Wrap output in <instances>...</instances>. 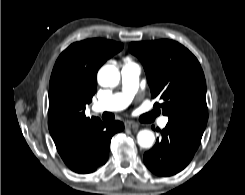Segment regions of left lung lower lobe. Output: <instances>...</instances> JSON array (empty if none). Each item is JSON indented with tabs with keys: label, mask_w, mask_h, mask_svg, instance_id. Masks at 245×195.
<instances>
[{
	"label": "left lung lower lobe",
	"mask_w": 245,
	"mask_h": 195,
	"mask_svg": "<svg viewBox=\"0 0 245 195\" xmlns=\"http://www.w3.org/2000/svg\"><path fill=\"white\" fill-rule=\"evenodd\" d=\"M203 130L177 122H168L161 139L144 154L145 165L154 174L171 176L183 170L198 149Z\"/></svg>",
	"instance_id": "0a47b994"
}]
</instances>
